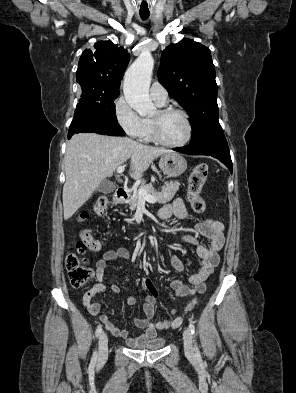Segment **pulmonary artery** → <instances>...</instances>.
<instances>
[{
  "instance_id": "pulmonary-artery-1",
  "label": "pulmonary artery",
  "mask_w": 296,
  "mask_h": 393,
  "mask_svg": "<svg viewBox=\"0 0 296 393\" xmlns=\"http://www.w3.org/2000/svg\"><path fill=\"white\" fill-rule=\"evenodd\" d=\"M150 96L159 106H163L168 102V92L158 81L152 83L150 87Z\"/></svg>"
}]
</instances>
